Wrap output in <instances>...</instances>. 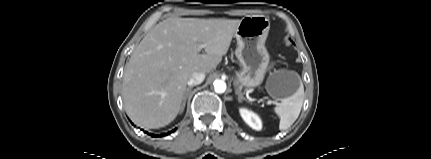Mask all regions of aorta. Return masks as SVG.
<instances>
[{"mask_svg": "<svg viewBox=\"0 0 431 159\" xmlns=\"http://www.w3.org/2000/svg\"><path fill=\"white\" fill-rule=\"evenodd\" d=\"M213 85L216 93H224L226 91V83L223 80H215Z\"/></svg>", "mask_w": 431, "mask_h": 159, "instance_id": "762f6f07", "label": "aorta"}]
</instances>
